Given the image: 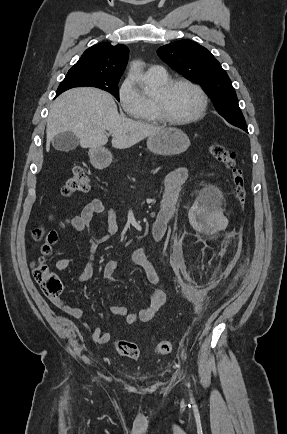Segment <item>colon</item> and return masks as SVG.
Segmentation results:
<instances>
[{
    "label": "colon",
    "mask_w": 287,
    "mask_h": 434,
    "mask_svg": "<svg viewBox=\"0 0 287 434\" xmlns=\"http://www.w3.org/2000/svg\"><path fill=\"white\" fill-rule=\"evenodd\" d=\"M209 151L217 161L224 164L231 171L233 194L238 205L243 207L246 197V180L243 169L237 163L235 153L219 143H212L209 146ZM89 188V178L82 168L75 167L71 176L63 185L62 193L65 196H71L77 193H86ZM32 235L34 240L38 242L40 254L33 263V278L47 297L58 298L63 291V283L45 263V258L51 253L52 246L57 240V235L54 231H46L41 227L35 228ZM172 348V341L163 340L155 345L154 352L156 355H167L171 352ZM115 349L118 354L130 359L137 360L142 356L140 347L134 342L117 340L115 342Z\"/></svg>",
    "instance_id": "colon-1"
}]
</instances>
